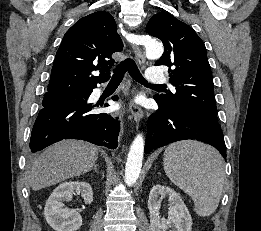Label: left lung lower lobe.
<instances>
[{
  "label": "left lung lower lobe",
  "instance_id": "0a47b994",
  "mask_svg": "<svg viewBox=\"0 0 261 231\" xmlns=\"http://www.w3.org/2000/svg\"><path fill=\"white\" fill-rule=\"evenodd\" d=\"M156 102L159 109L147 123L146 153L172 142L195 139L212 145L226 159V146L219 126L184 108H168Z\"/></svg>",
  "mask_w": 261,
  "mask_h": 231
}]
</instances>
